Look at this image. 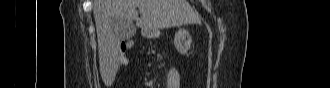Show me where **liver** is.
I'll use <instances>...</instances> for the list:
<instances>
[{
    "mask_svg": "<svg viewBox=\"0 0 330 88\" xmlns=\"http://www.w3.org/2000/svg\"><path fill=\"white\" fill-rule=\"evenodd\" d=\"M139 8L140 18L138 17ZM93 15L96 23L100 74L106 86L114 82L118 69L121 39L114 23H137L142 35L197 21L187 0H95Z\"/></svg>",
    "mask_w": 330,
    "mask_h": 88,
    "instance_id": "6515ba94",
    "label": "liver"
}]
</instances>
